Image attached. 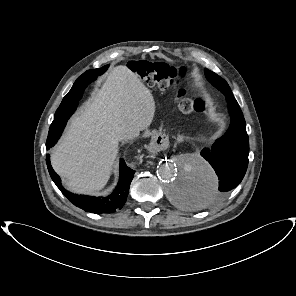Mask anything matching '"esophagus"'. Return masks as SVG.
<instances>
[{
  "label": "esophagus",
  "instance_id": "esophagus-1",
  "mask_svg": "<svg viewBox=\"0 0 296 296\" xmlns=\"http://www.w3.org/2000/svg\"><path fill=\"white\" fill-rule=\"evenodd\" d=\"M153 138H155V137H153ZM162 148L163 147H166L167 146V144H168V138L167 137H165L164 139H162Z\"/></svg>",
  "mask_w": 296,
  "mask_h": 296
}]
</instances>
